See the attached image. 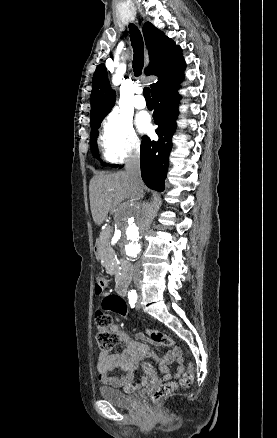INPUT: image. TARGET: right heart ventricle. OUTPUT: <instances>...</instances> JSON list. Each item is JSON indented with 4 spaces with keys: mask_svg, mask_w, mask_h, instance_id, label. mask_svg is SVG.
Masks as SVG:
<instances>
[{
    "mask_svg": "<svg viewBox=\"0 0 277 438\" xmlns=\"http://www.w3.org/2000/svg\"><path fill=\"white\" fill-rule=\"evenodd\" d=\"M102 146L104 150V157L107 161L117 162L120 160L119 155L116 153L111 142L108 140L107 137L103 138Z\"/></svg>",
    "mask_w": 277,
    "mask_h": 438,
    "instance_id": "obj_1",
    "label": "right heart ventricle"
}]
</instances>
